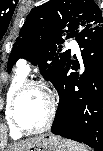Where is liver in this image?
I'll use <instances>...</instances> for the list:
<instances>
[{
  "label": "liver",
  "mask_w": 103,
  "mask_h": 151,
  "mask_svg": "<svg viewBox=\"0 0 103 151\" xmlns=\"http://www.w3.org/2000/svg\"><path fill=\"white\" fill-rule=\"evenodd\" d=\"M36 138H30L28 140L16 143L13 145L10 151H26Z\"/></svg>",
  "instance_id": "6515ba94"
}]
</instances>
